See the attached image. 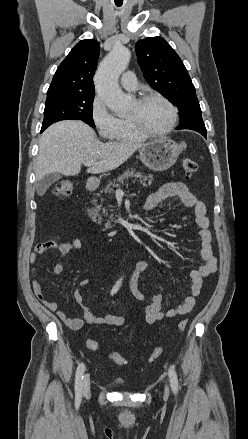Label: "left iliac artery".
<instances>
[{"instance_id": "left-iliac-artery-1", "label": "left iliac artery", "mask_w": 248, "mask_h": 439, "mask_svg": "<svg viewBox=\"0 0 248 439\" xmlns=\"http://www.w3.org/2000/svg\"><path fill=\"white\" fill-rule=\"evenodd\" d=\"M168 372H169V378H170L172 390L174 391V393H177L178 392V379H177L176 372H175L173 367H170Z\"/></svg>"}]
</instances>
